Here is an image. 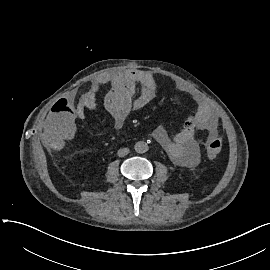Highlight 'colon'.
Segmentation results:
<instances>
[{
    "label": "colon",
    "mask_w": 270,
    "mask_h": 270,
    "mask_svg": "<svg viewBox=\"0 0 270 270\" xmlns=\"http://www.w3.org/2000/svg\"><path fill=\"white\" fill-rule=\"evenodd\" d=\"M205 147L210 156H215L222 149V141L219 137H210L206 140Z\"/></svg>",
    "instance_id": "colon-1"
}]
</instances>
